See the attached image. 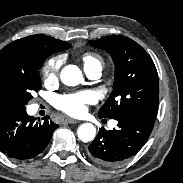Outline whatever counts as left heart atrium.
I'll list each match as a JSON object with an SVG mask.
<instances>
[{"instance_id": "1", "label": "left heart atrium", "mask_w": 183, "mask_h": 183, "mask_svg": "<svg viewBox=\"0 0 183 183\" xmlns=\"http://www.w3.org/2000/svg\"><path fill=\"white\" fill-rule=\"evenodd\" d=\"M95 100L96 96L92 91L84 90L58 95L54 99V105L68 115L79 116L85 112L87 105L94 103Z\"/></svg>"}]
</instances>
